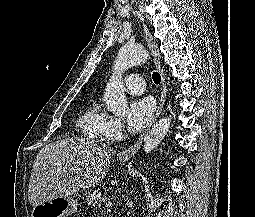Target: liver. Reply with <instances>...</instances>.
<instances>
[{
	"mask_svg": "<svg viewBox=\"0 0 255 217\" xmlns=\"http://www.w3.org/2000/svg\"><path fill=\"white\" fill-rule=\"evenodd\" d=\"M113 148L86 138L59 140L36 156L28 199L37 206L99 184L107 175Z\"/></svg>",
	"mask_w": 255,
	"mask_h": 217,
	"instance_id": "obj_1",
	"label": "liver"
}]
</instances>
